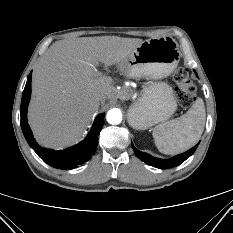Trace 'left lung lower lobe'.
I'll list each match as a JSON object with an SVG mask.
<instances>
[{"instance_id": "left-lung-lower-lobe-1", "label": "left lung lower lobe", "mask_w": 233, "mask_h": 233, "mask_svg": "<svg viewBox=\"0 0 233 233\" xmlns=\"http://www.w3.org/2000/svg\"><path fill=\"white\" fill-rule=\"evenodd\" d=\"M197 146L198 144L194 146L193 148H191L190 150L186 151L185 153L176 155L175 157H172L171 159H168V160H163V159L155 158L147 153L141 152L132 145L135 154L143 162L153 167L160 168V169H169V168L180 165L182 162L188 159L195 152Z\"/></svg>"}]
</instances>
